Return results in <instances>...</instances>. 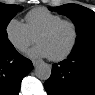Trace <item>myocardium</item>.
Returning a JSON list of instances; mask_svg holds the SVG:
<instances>
[{"instance_id": "1", "label": "myocardium", "mask_w": 95, "mask_h": 95, "mask_svg": "<svg viewBox=\"0 0 95 95\" xmlns=\"http://www.w3.org/2000/svg\"><path fill=\"white\" fill-rule=\"evenodd\" d=\"M63 24H69L70 26H72L73 32H74L73 40H72L71 45L68 47V49L65 52H63L62 54H60L58 56H49V58L52 61L64 60L65 58H67L73 52V50L75 49V47H76V45L78 43V40H79V28H78L77 24L74 21H72V20L62 19L60 21H57V22L49 25L48 27L43 29L36 36V41H37L40 36L52 33L54 30H56L59 26H61Z\"/></svg>"}]
</instances>
